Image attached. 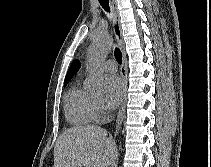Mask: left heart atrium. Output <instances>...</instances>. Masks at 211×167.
<instances>
[{"mask_svg": "<svg viewBox=\"0 0 211 167\" xmlns=\"http://www.w3.org/2000/svg\"><path fill=\"white\" fill-rule=\"evenodd\" d=\"M123 83L116 75H110L105 81V101L109 108L116 107L123 96Z\"/></svg>", "mask_w": 211, "mask_h": 167, "instance_id": "1", "label": "left heart atrium"}]
</instances>
